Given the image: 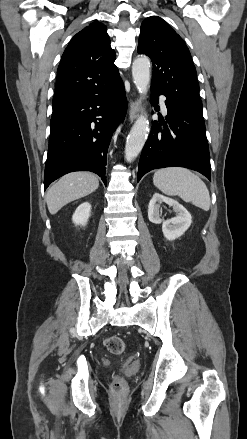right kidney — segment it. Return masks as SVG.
I'll list each match as a JSON object with an SVG mask.
<instances>
[{"label":"right kidney","mask_w":247,"mask_h":439,"mask_svg":"<svg viewBox=\"0 0 247 439\" xmlns=\"http://www.w3.org/2000/svg\"><path fill=\"white\" fill-rule=\"evenodd\" d=\"M91 209H92L91 204L88 202H84L80 204L72 216L73 223L75 225L85 226L91 215Z\"/></svg>","instance_id":"obj_1"}]
</instances>
